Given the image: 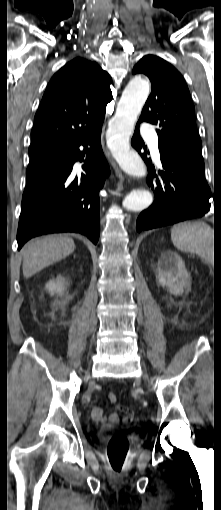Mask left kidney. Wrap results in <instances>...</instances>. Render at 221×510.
I'll return each instance as SVG.
<instances>
[{
  "label": "left kidney",
  "mask_w": 221,
  "mask_h": 510,
  "mask_svg": "<svg viewBox=\"0 0 221 510\" xmlns=\"http://www.w3.org/2000/svg\"><path fill=\"white\" fill-rule=\"evenodd\" d=\"M158 281L170 294L181 295L190 286L189 274L181 257L173 252L161 254L157 264Z\"/></svg>",
  "instance_id": "1"
}]
</instances>
